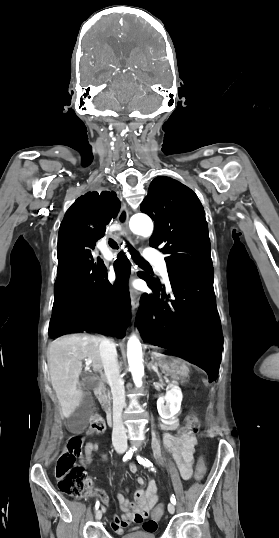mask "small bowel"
<instances>
[{
	"instance_id": "1",
	"label": "small bowel",
	"mask_w": 279,
	"mask_h": 538,
	"mask_svg": "<svg viewBox=\"0 0 279 538\" xmlns=\"http://www.w3.org/2000/svg\"><path fill=\"white\" fill-rule=\"evenodd\" d=\"M162 428L169 431L161 441L155 439L153 442V450L156 458H160L162 451L168 449L172 451L173 458L179 469V473L184 480H188L192 476V460L193 451L196 444V439L192 436L183 433L180 426L173 423H164ZM98 450V445L94 442L87 443L85 446V455L82 460L83 464H89L92 460V453ZM106 459V456H102ZM131 473H136L137 467L135 464H131L129 467ZM139 487L135 491V503H131L129 499L122 494H118V502L122 514L114 518L111 523V528L117 534H123L127 531L130 523L136 525L131 530H137L140 527L146 531H155L156 522L154 520H147L151 509L154 507L158 500L159 486L155 480H151L148 483L146 489L144 485V479L139 477Z\"/></svg>"
}]
</instances>
